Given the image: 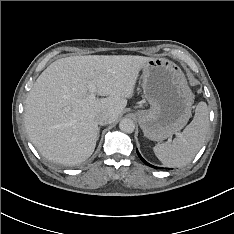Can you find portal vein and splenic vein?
I'll list each match as a JSON object with an SVG mask.
<instances>
[{
    "label": "portal vein and splenic vein",
    "mask_w": 234,
    "mask_h": 234,
    "mask_svg": "<svg viewBox=\"0 0 234 234\" xmlns=\"http://www.w3.org/2000/svg\"><path fill=\"white\" fill-rule=\"evenodd\" d=\"M89 95L88 99L93 101L96 98V85L93 82L88 83Z\"/></svg>",
    "instance_id": "18ae733b"
}]
</instances>
